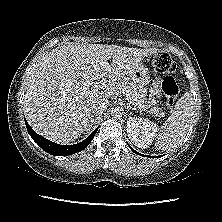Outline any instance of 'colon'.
Wrapping results in <instances>:
<instances>
[{"label": "colon", "mask_w": 222, "mask_h": 222, "mask_svg": "<svg viewBox=\"0 0 222 222\" xmlns=\"http://www.w3.org/2000/svg\"><path fill=\"white\" fill-rule=\"evenodd\" d=\"M153 65L158 72L166 75L161 83V91L165 96L167 107L173 108L179 92L178 85L173 77V74L177 72L178 66L167 53L157 54L154 57Z\"/></svg>", "instance_id": "colon-1"}]
</instances>
